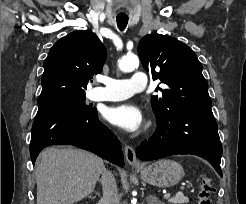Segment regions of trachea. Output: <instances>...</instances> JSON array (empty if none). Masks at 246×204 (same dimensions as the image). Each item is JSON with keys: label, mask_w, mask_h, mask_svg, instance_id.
<instances>
[{"label": "trachea", "mask_w": 246, "mask_h": 204, "mask_svg": "<svg viewBox=\"0 0 246 204\" xmlns=\"http://www.w3.org/2000/svg\"><path fill=\"white\" fill-rule=\"evenodd\" d=\"M117 26L119 28L120 31H123L128 23V19L127 18H117Z\"/></svg>", "instance_id": "1"}]
</instances>
